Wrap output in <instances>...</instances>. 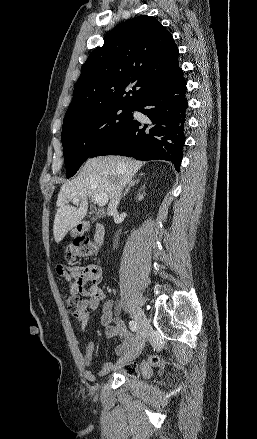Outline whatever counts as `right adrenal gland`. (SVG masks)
<instances>
[{
	"label": "right adrenal gland",
	"instance_id": "right-adrenal-gland-1",
	"mask_svg": "<svg viewBox=\"0 0 257 439\" xmlns=\"http://www.w3.org/2000/svg\"><path fill=\"white\" fill-rule=\"evenodd\" d=\"M141 175H143V174L140 173L139 176H141ZM139 181H140L139 179L131 180L129 182L128 187L126 188L125 192L123 193L122 198L125 197L127 195L128 191L130 190V188L133 187L134 185L138 184Z\"/></svg>",
	"mask_w": 257,
	"mask_h": 439
}]
</instances>
